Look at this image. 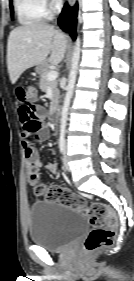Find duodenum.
<instances>
[{
	"label": "duodenum",
	"instance_id": "410a0bca",
	"mask_svg": "<svg viewBox=\"0 0 134 281\" xmlns=\"http://www.w3.org/2000/svg\"><path fill=\"white\" fill-rule=\"evenodd\" d=\"M50 121L55 124L58 121V107L53 106L50 111Z\"/></svg>",
	"mask_w": 134,
	"mask_h": 281
}]
</instances>
